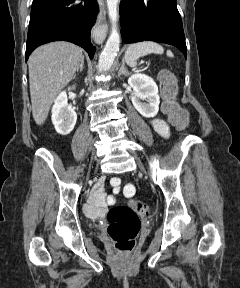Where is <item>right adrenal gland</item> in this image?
Listing matches in <instances>:
<instances>
[{
    "label": "right adrenal gland",
    "mask_w": 240,
    "mask_h": 288,
    "mask_svg": "<svg viewBox=\"0 0 240 288\" xmlns=\"http://www.w3.org/2000/svg\"><path fill=\"white\" fill-rule=\"evenodd\" d=\"M83 68H84V61L81 63V66H80L79 70H77V73L82 72ZM75 77H76V75H74L73 79H75Z\"/></svg>",
    "instance_id": "1"
}]
</instances>
